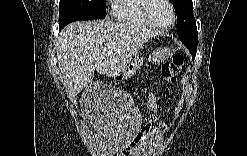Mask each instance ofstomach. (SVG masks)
<instances>
[{"label":"stomach","mask_w":247,"mask_h":156,"mask_svg":"<svg viewBox=\"0 0 247 156\" xmlns=\"http://www.w3.org/2000/svg\"><path fill=\"white\" fill-rule=\"evenodd\" d=\"M172 52L168 48H159L151 54V59L154 63H161L171 57ZM143 63V60L139 57H136L133 61H131L126 69L121 72L118 77L127 78L131 74H133Z\"/></svg>","instance_id":"obj_1"}]
</instances>
